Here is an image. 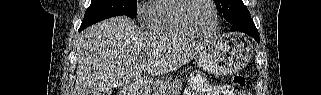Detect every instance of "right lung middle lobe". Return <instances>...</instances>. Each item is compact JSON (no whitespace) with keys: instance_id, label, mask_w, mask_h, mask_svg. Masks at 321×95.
I'll return each mask as SVG.
<instances>
[{"instance_id":"right-lung-middle-lobe-1","label":"right lung middle lobe","mask_w":321,"mask_h":95,"mask_svg":"<svg viewBox=\"0 0 321 95\" xmlns=\"http://www.w3.org/2000/svg\"><path fill=\"white\" fill-rule=\"evenodd\" d=\"M136 14V0H91L79 30L113 16L125 15L134 18Z\"/></svg>"}]
</instances>
